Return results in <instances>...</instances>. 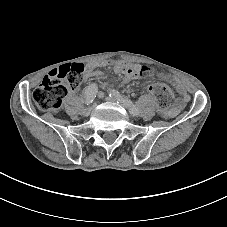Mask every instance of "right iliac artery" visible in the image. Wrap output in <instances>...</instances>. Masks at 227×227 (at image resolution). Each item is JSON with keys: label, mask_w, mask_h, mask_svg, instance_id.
<instances>
[{"label": "right iliac artery", "mask_w": 227, "mask_h": 227, "mask_svg": "<svg viewBox=\"0 0 227 227\" xmlns=\"http://www.w3.org/2000/svg\"><path fill=\"white\" fill-rule=\"evenodd\" d=\"M97 91H98V88L95 84H92L85 88L84 94H85V100L87 105L94 101Z\"/></svg>", "instance_id": "1"}]
</instances>
